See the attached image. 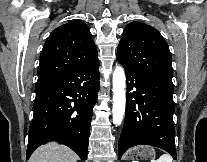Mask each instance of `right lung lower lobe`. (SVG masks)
<instances>
[{
    "mask_svg": "<svg viewBox=\"0 0 207 162\" xmlns=\"http://www.w3.org/2000/svg\"><path fill=\"white\" fill-rule=\"evenodd\" d=\"M99 91V61L37 81L26 158L56 141L87 160L93 107Z\"/></svg>",
    "mask_w": 207,
    "mask_h": 162,
    "instance_id": "obj_1",
    "label": "right lung lower lobe"
}]
</instances>
